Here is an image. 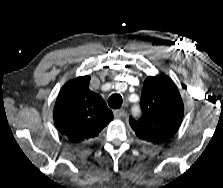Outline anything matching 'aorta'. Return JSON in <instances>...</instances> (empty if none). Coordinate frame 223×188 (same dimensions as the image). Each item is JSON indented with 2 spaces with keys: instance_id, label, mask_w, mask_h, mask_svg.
I'll return each instance as SVG.
<instances>
[{
  "instance_id": "1",
  "label": "aorta",
  "mask_w": 223,
  "mask_h": 188,
  "mask_svg": "<svg viewBox=\"0 0 223 188\" xmlns=\"http://www.w3.org/2000/svg\"><path fill=\"white\" fill-rule=\"evenodd\" d=\"M132 112H133V114L136 115L139 112V107L137 105L133 106L132 107Z\"/></svg>"
}]
</instances>
